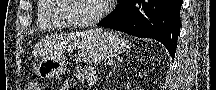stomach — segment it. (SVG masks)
Segmentation results:
<instances>
[{"label": "stomach", "mask_w": 216, "mask_h": 90, "mask_svg": "<svg viewBox=\"0 0 216 90\" xmlns=\"http://www.w3.org/2000/svg\"><path fill=\"white\" fill-rule=\"evenodd\" d=\"M127 48L122 36L113 31H105L96 36L80 51V56L87 62H101L113 58ZM63 58H47L42 60L37 68V74L43 79H52L65 73L66 65Z\"/></svg>", "instance_id": "stomach-1"}]
</instances>
